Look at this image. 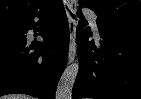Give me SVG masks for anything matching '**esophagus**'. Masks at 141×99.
Wrapping results in <instances>:
<instances>
[{
    "instance_id": "obj_1",
    "label": "esophagus",
    "mask_w": 141,
    "mask_h": 99,
    "mask_svg": "<svg viewBox=\"0 0 141 99\" xmlns=\"http://www.w3.org/2000/svg\"><path fill=\"white\" fill-rule=\"evenodd\" d=\"M66 4L68 9L75 14L77 10V2L76 0H66ZM68 22H69V30H70V42H69V53H68V61L71 63L75 59L76 55V20L72 17V15L68 14Z\"/></svg>"
}]
</instances>
